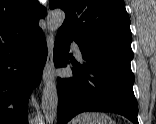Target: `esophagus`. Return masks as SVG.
Listing matches in <instances>:
<instances>
[{
	"instance_id": "obj_1",
	"label": "esophagus",
	"mask_w": 156,
	"mask_h": 124,
	"mask_svg": "<svg viewBox=\"0 0 156 124\" xmlns=\"http://www.w3.org/2000/svg\"><path fill=\"white\" fill-rule=\"evenodd\" d=\"M47 60L43 69V82L46 83L53 75V49H54V37L52 34L47 38Z\"/></svg>"
}]
</instances>
